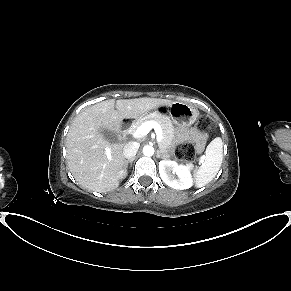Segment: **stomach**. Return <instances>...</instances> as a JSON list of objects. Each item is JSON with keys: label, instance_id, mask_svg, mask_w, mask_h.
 <instances>
[{"label": "stomach", "instance_id": "stomach-1", "mask_svg": "<svg viewBox=\"0 0 291 291\" xmlns=\"http://www.w3.org/2000/svg\"><path fill=\"white\" fill-rule=\"evenodd\" d=\"M167 111L173 122L182 128L191 126L199 115L197 109L182 102H172L171 104L161 105L157 108L158 114H164Z\"/></svg>", "mask_w": 291, "mask_h": 291}]
</instances>
